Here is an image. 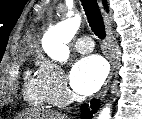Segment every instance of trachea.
Listing matches in <instances>:
<instances>
[{
    "instance_id": "obj_1",
    "label": "trachea",
    "mask_w": 142,
    "mask_h": 119,
    "mask_svg": "<svg viewBox=\"0 0 142 119\" xmlns=\"http://www.w3.org/2000/svg\"><path fill=\"white\" fill-rule=\"evenodd\" d=\"M91 30L100 39L105 38V25L96 0H81Z\"/></svg>"
}]
</instances>
